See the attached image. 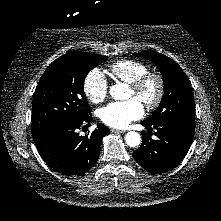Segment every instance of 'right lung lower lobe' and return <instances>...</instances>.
<instances>
[{"instance_id": "98d812e1", "label": "right lung lower lobe", "mask_w": 221, "mask_h": 221, "mask_svg": "<svg viewBox=\"0 0 221 221\" xmlns=\"http://www.w3.org/2000/svg\"><path fill=\"white\" fill-rule=\"evenodd\" d=\"M87 115L78 120L56 123L33 135L37 150L47 165L64 175L79 176L93 167L99 158L100 143L110 130L98 124L88 135L80 136L78 129L92 122Z\"/></svg>"}]
</instances>
